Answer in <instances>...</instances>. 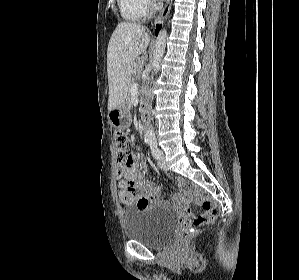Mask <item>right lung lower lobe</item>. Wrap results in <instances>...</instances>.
<instances>
[{"mask_svg":"<svg viewBox=\"0 0 299 280\" xmlns=\"http://www.w3.org/2000/svg\"><path fill=\"white\" fill-rule=\"evenodd\" d=\"M161 29V25H157V28L155 30V34L157 35L158 34V31Z\"/></svg>","mask_w":299,"mask_h":280,"instance_id":"1","label":"right lung lower lobe"}]
</instances>
